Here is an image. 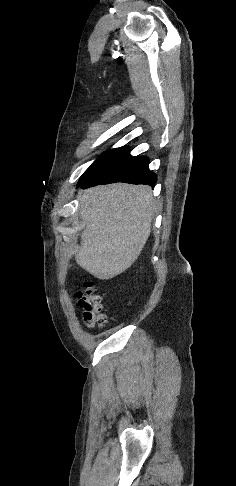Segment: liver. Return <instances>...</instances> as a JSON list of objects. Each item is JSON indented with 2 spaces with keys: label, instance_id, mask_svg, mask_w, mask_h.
<instances>
[{
  "label": "liver",
  "instance_id": "1",
  "mask_svg": "<svg viewBox=\"0 0 236 486\" xmlns=\"http://www.w3.org/2000/svg\"><path fill=\"white\" fill-rule=\"evenodd\" d=\"M155 210L149 186L115 183L84 190L78 265L101 280L123 273L144 248Z\"/></svg>",
  "mask_w": 236,
  "mask_h": 486
}]
</instances>
